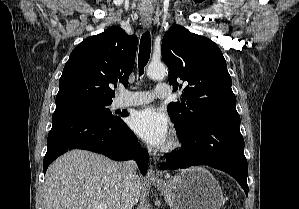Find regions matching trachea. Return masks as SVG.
Returning <instances> with one entry per match:
<instances>
[{"instance_id":"3493384b","label":"trachea","mask_w":299,"mask_h":209,"mask_svg":"<svg viewBox=\"0 0 299 209\" xmlns=\"http://www.w3.org/2000/svg\"><path fill=\"white\" fill-rule=\"evenodd\" d=\"M151 52V40H150V33L147 31L145 32L140 40V48H139V56H138V66L140 75L144 73V67L149 61Z\"/></svg>"}]
</instances>
